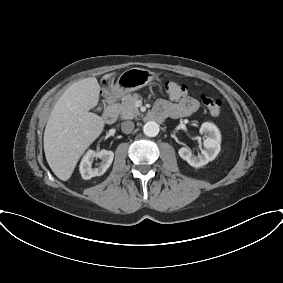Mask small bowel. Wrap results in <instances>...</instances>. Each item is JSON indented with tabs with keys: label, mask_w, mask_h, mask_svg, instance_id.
I'll return each instance as SVG.
<instances>
[{
	"label": "small bowel",
	"mask_w": 283,
	"mask_h": 283,
	"mask_svg": "<svg viewBox=\"0 0 283 283\" xmlns=\"http://www.w3.org/2000/svg\"><path fill=\"white\" fill-rule=\"evenodd\" d=\"M171 100L172 102L158 101L154 112L163 113L166 117H187L199 108L198 100L190 95H184L178 99L171 98Z\"/></svg>",
	"instance_id": "1"
}]
</instances>
